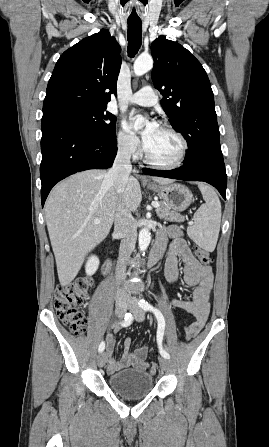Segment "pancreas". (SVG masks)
<instances>
[{
    "label": "pancreas",
    "instance_id": "obj_1",
    "mask_svg": "<svg viewBox=\"0 0 269 447\" xmlns=\"http://www.w3.org/2000/svg\"><path fill=\"white\" fill-rule=\"evenodd\" d=\"M156 214L161 218V220H169V222H184V216L177 214V212H171L170 208L164 204V202H159V208H156Z\"/></svg>",
    "mask_w": 269,
    "mask_h": 447
}]
</instances>
